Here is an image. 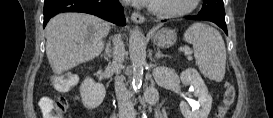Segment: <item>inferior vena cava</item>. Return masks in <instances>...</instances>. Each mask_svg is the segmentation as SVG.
Instances as JSON below:
<instances>
[{
    "label": "inferior vena cava",
    "instance_id": "obj_1",
    "mask_svg": "<svg viewBox=\"0 0 273 118\" xmlns=\"http://www.w3.org/2000/svg\"><path fill=\"white\" fill-rule=\"evenodd\" d=\"M125 56V47L120 36L114 37L113 62L111 69L116 73L115 92L118 101L120 118H134L135 111L132 105L129 92L127 91L123 78L119 76L121 64Z\"/></svg>",
    "mask_w": 273,
    "mask_h": 118
}]
</instances>
